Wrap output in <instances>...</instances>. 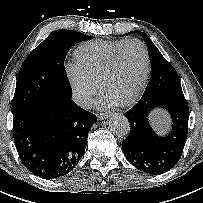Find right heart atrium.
I'll return each mask as SVG.
<instances>
[{
  "label": "right heart atrium",
  "instance_id": "right-heart-atrium-1",
  "mask_svg": "<svg viewBox=\"0 0 203 203\" xmlns=\"http://www.w3.org/2000/svg\"><path fill=\"white\" fill-rule=\"evenodd\" d=\"M65 73L75 101L80 106L87 107L98 90L97 82L75 62L65 66Z\"/></svg>",
  "mask_w": 203,
  "mask_h": 203
}]
</instances>
